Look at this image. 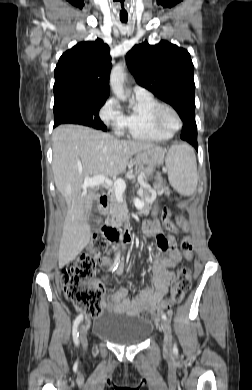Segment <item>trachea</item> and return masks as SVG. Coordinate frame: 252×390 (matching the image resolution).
Segmentation results:
<instances>
[{
  "instance_id": "trachea-1",
  "label": "trachea",
  "mask_w": 252,
  "mask_h": 390,
  "mask_svg": "<svg viewBox=\"0 0 252 390\" xmlns=\"http://www.w3.org/2000/svg\"><path fill=\"white\" fill-rule=\"evenodd\" d=\"M121 22L126 23L127 19H121Z\"/></svg>"
}]
</instances>
